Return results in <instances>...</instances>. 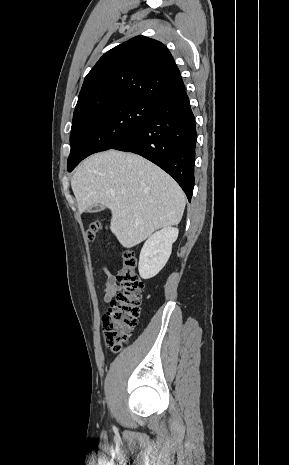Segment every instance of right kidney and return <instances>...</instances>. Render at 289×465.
<instances>
[{"mask_svg":"<svg viewBox=\"0 0 289 465\" xmlns=\"http://www.w3.org/2000/svg\"><path fill=\"white\" fill-rule=\"evenodd\" d=\"M178 229L164 227L152 234L144 243L139 257V274L143 279L156 276L167 263L172 244L178 237Z\"/></svg>","mask_w":289,"mask_h":465,"instance_id":"ca27d5eb","label":"right kidney"}]
</instances>
